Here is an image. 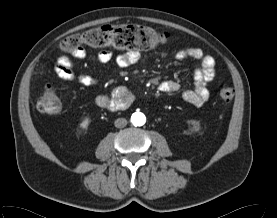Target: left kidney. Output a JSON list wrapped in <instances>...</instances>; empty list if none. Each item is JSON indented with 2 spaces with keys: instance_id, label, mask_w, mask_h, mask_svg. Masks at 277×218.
Returning a JSON list of instances; mask_svg holds the SVG:
<instances>
[{
  "instance_id": "5707ae66",
  "label": "left kidney",
  "mask_w": 277,
  "mask_h": 218,
  "mask_svg": "<svg viewBox=\"0 0 277 218\" xmlns=\"http://www.w3.org/2000/svg\"><path fill=\"white\" fill-rule=\"evenodd\" d=\"M193 125H194V129L198 130V126H197V122L196 121H193Z\"/></svg>"
}]
</instances>
